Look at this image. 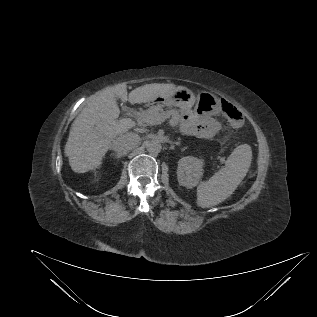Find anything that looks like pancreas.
I'll return each instance as SVG.
<instances>
[{"label": "pancreas", "instance_id": "obj_1", "mask_svg": "<svg viewBox=\"0 0 317 317\" xmlns=\"http://www.w3.org/2000/svg\"><path fill=\"white\" fill-rule=\"evenodd\" d=\"M163 111L162 105L151 106L147 110L141 112V120L144 124L149 125L148 118L155 117Z\"/></svg>", "mask_w": 317, "mask_h": 317}]
</instances>
